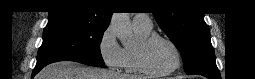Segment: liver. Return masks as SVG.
<instances>
[{"label":"liver","mask_w":255,"mask_h":79,"mask_svg":"<svg viewBox=\"0 0 255 79\" xmlns=\"http://www.w3.org/2000/svg\"><path fill=\"white\" fill-rule=\"evenodd\" d=\"M36 79H145L121 75L112 70L91 68L73 61L52 63L41 70Z\"/></svg>","instance_id":"1"}]
</instances>
